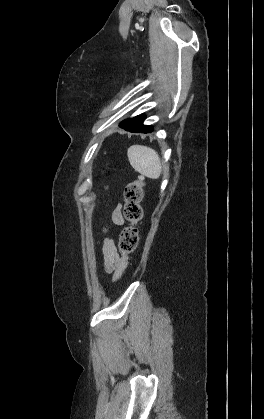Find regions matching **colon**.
<instances>
[{"label":"colon","mask_w":264,"mask_h":419,"mask_svg":"<svg viewBox=\"0 0 264 419\" xmlns=\"http://www.w3.org/2000/svg\"><path fill=\"white\" fill-rule=\"evenodd\" d=\"M143 182L134 181L129 183L124 190V216L129 224L121 231L119 236V250L121 262L114 274L117 282L123 276L129 262V256L134 252L138 244V223L142 220L143 210L141 201L143 197Z\"/></svg>","instance_id":"5ec220e1"}]
</instances>
